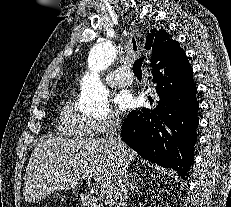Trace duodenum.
Returning <instances> with one entry per match:
<instances>
[{
  "mask_svg": "<svg viewBox=\"0 0 231 207\" xmlns=\"http://www.w3.org/2000/svg\"><path fill=\"white\" fill-rule=\"evenodd\" d=\"M81 203L83 207H98L96 200L89 194H81Z\"/></svg>",
  "mask_w": 231,
  "mask_h": 207,
  "instance_id": "1",
  "label": "duodenum"
}]
</instances>
